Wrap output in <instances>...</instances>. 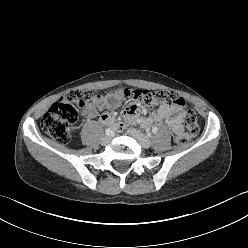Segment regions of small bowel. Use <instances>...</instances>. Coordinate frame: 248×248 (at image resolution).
Listing matches in <instances>:
<instances>
[{"mask_svg": "<svg viewBox=\"0 0 248 248\" xmlns=\"http://www.w3.org/2000/svg\"><path fill=\"white\" fill-rule=\"evenodd\" d=\"M128 99V90L123 86H116L111 90L110 95L106 97L96 96L93 107L86 111V115L95 117L108 107L119 109ZM124 117L127 121H138L143 127H148L153 123L164 122L170 127L174 134L183 132L182 111L169 105H161L151 116L139 118L137 107L132 103H128L124 108ZM100 122L117 130H123L126 127V123L116 122L113 115L108 112H104L100 115Z\"/></svg>", "mask_w": 248, "mask_h": 248, "instance_id": "1", "label": "small bowel"}]
</instances>
